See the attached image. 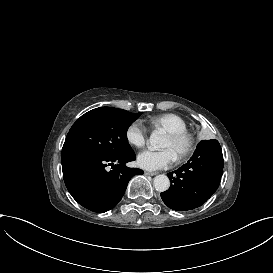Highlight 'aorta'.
<instances>
[{
	"label": "aorta",
	"mask_w": 273,
	"mask_h": 273,
	"mask_svg": "<svg viewBox=\"0 0 273 273\" xmlns=\"http://www.w3.org/2000/svg\"><path fill=\"white\" fill-rule=\"evenodd\" d=\"M162 135L158 131H153L150 135L148 143L151 148L159 149L162 146ZM154 187L158 192H165L170 187V180L169 178L164 175L160 174L154 178Z\"/></svg>",
	"instance_id": "1"
}]
</instances>
